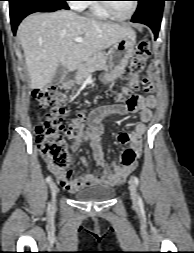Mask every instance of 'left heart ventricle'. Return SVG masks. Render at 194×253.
Here are the masks:
<instances>
[{
  "mask_svg": "<svg viewBox=\"0 0 194 253\" xmlns=\"http://www.w3.org/2000/svg\"><path fill=\"white\" fill-rule=\"evenodd\" d=\"M108 5L116 15L125 17L131 12L133 1H114L108 3Z\"/></svg>",
  "mask_w": 194,
  "mask_h": 253,
  "instance_id": "left-heart-ventricle-1",
  "label": "left heart ventricle"
}]
</instances>
